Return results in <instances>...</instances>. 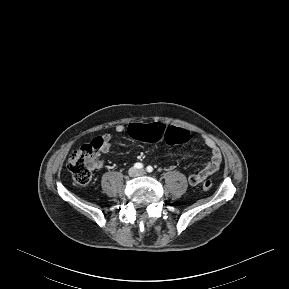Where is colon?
<instances>
[{"label": "colon", "mask_w": 289, "mask_h": 289, "mask_svg": "<svg viewBox=\"0 0 289 289\" xmlns=\"http://www.w3.org/2000/svg\"><path fill=\"white\" fill-rule=\"evenodd\" d=\"M131 137L140 141L157 142L164 139L169 144L186 142L189 139L188 131L168 125L165 122L133 123L129 127ZM103 141L97 137L90 143L79 146L71 153L67 162L73 181L76 185L83 186L89 183L92 171L99 163V151ZM212 187V181L206 180L202 184L204 190Z\"/></svg>", "instance_id": "1"}]
</instances>
